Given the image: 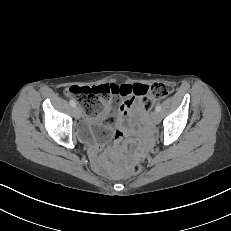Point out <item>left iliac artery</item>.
I'll return each instance as SVG.
<instances>
[{
  "instance_id": "left-iliac-artery-1",
  "label": "left iliac artery",
  "mask_w": 231,
  "mask_h": 231,
  "mask_svg": "<svg viewBox=\"0 0 231 231\" xmlns=\"http://www.w3.org/2000/svg\"><path fill=\"white\" fill-rule=\"evenodd\" d=\"M155 110L158 111V112H160V111H161V105L158 104V105L156 106V109H155Z\"/></svg>"
}]
</instances>
